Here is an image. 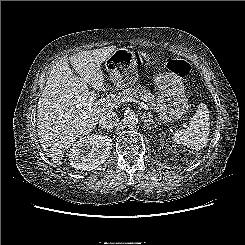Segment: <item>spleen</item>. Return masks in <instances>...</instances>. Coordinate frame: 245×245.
<instances>
[{
	"label": "spleen",
	"mask_w": 245,
	"mask_h": 245,
	"mask_svg": "<svg viewBox=\"0 0 245 245\" xmlns=\"http://www.w3.org/2000/svg\"><path fill=\"white\" fill-rule=\"evenodd\" d=\"M210 133V116L207 105L200 103L192 117L187 130H179L173 134L177 144L188 148L201 150L208 142Z\"/></svg>",
	"instance_id": "spleen-1"
}]
</instances>
